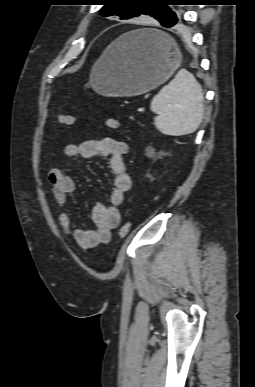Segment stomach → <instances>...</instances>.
Wrapping results in <instances>:
<instances>
[{"mask_svg":"<svg viewBox=\"0 0 255 387\" xmlns=\"http://www.w3.org/2000/svg\"><path fill=\"white\" fill-rule=\"evenodd\" d=\"M152 32L156 40L142 36ZM175 41L155 30H136L115 40L103 52L90 74L93 89L105 96H135L164 83L180 66Z\"/></svg>","mask_w":255,"mask_h":387,"instance_id":"1","label":"stomach"}]
</instances>
